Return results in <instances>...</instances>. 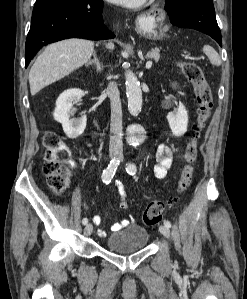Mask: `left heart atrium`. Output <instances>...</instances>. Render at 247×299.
Here are the masks:
<instances>
[{
    "label": "left heart atrium",
    "instance_id": "obj_1",
    "mask_svg": "<svg viewBox=\"0 0 247 299\" xmlns=\"http://www.w3.org/2000/svg\"><path fill=\"white\" fill-rule=\"evenodd\" d=\"M114 4L123 5L127 7H136L141 5L145 0H108Z\"/></svg>",
    "mask_w": 247,
    "mask_h": 299
}]
</instances>
